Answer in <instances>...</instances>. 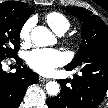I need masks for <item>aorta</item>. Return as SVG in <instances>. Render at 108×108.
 <instances>
[{
  "label": "aorta",
  "mask_w": 108,
  "mask_h": 108,
  "mask_svg": "<svg viewBox=\"0 0 108 108\" xmlns=\"http://www.w3.org/2000/svg\"><path fill=\"white\" fill-rule=\"evenodd\" d=\"M32 43L39 47L51 45L54 35L44 26H36L31 31ZM46 91L50 96H56L60 92V85L55 81L46 84Z\"/></svg>",
  "instance_id": "obj_1"
}]
</instances>
